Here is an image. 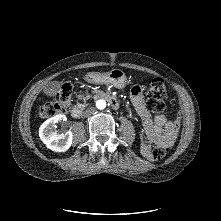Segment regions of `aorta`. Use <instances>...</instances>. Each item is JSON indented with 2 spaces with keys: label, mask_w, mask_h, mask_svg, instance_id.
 I'll return each mask as SVG.
<instances>
[{
  "label": "aorta",
  "mask_w": 221,
  "mask_h": 221,
  "mask_svg": "<svg viewBox=\"0 0 221 221\" xmlns=\"http://www.w3.org/2000/svg\"><path fill=\"white\" fill-rule=\"evenodd\" d=\"M96 107L99 109V110H103L105 109L106 107V101L103 100V99H100L96 102Z\"/></svg>",
  "instance_id": "1"
}]
</instances>
